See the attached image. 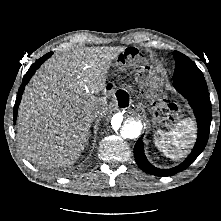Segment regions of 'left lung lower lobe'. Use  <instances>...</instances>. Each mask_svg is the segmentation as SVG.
I'll list each match as a JSON object with an SVG mask.
<instances>
[{
	"label": "left lung lower lobe",
	"mask_w": 221,
	"mask_h": 221,
	"mask_svg": "<svg viewBox=\"0 0 221 221\" xmlns=\"http://www.w3.org/2000/svg\"><path fill=\"white\" fill-rule=\"evenodd\" d=\"M176 90L182 94L192 107L197 125L198 136L192 152L180 165L170 169H158L151 165L144 154V145L140 137L134 147V157L137 165L146 173L154 176H172L187 169L204 150L210 132L211 102L204 77H186L173 79Z\"/></svg>",
	"instance_id": "1"
}]
</instances>
